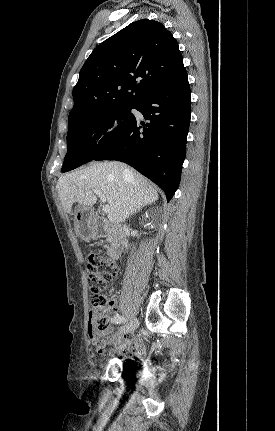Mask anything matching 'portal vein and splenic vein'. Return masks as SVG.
Here are the masks:
<instances>
[{"label": "portal vein and splenic vein", "mask_w": 275, "mask_h": 431, "mask_svg": "<svg viewBox=\"0 0 275 431\" xmlns=\"http://www.w3.org/2000/svg\"><path fill=\"white\" fill-rule=\"evenodd\" d=\"M93 192H94V194H96L97 196H99V198L101 199V201L103 203L106 201L105 195L103 194V192H101L100 190H94ZM102 211L104 213H109L110 212V206L107 205V204L103 205Z\"/></svg>", "instance_id": "portal-vein-and-splenic-vein-1"}]
</instances>
